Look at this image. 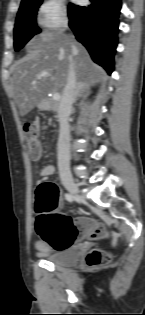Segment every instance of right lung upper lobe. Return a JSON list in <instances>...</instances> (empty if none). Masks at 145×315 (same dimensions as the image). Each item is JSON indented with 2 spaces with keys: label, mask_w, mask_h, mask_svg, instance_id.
Returning <instances> with one entry per match:
<instances>
[{
  "label": "right lung upper lobe",
  "mask_w": 145,
  "mask_h": 315,
  "mask_svg": "<svg viewBox=\"0 0 145 315\" xmlns=\"http://www.w3.org/2000/svg\"><path fill=\"white\" fill-rule=\"evenodd\" d=\"M29 1H32V0H22V1H21V4L27 3V2H29Z\"/></svg>",
  "instance_id": "obj_1"
}]
</instances>
